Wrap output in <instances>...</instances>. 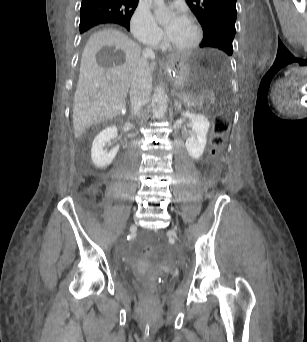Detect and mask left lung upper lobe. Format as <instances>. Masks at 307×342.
<instances>
[{"mask_svg":"<svg viewBox=\"0 0 307 342\" xmlns=\"http://www.w3.org/2000/svg\"><path fill=\"white\" fill-rule=\"evenodd\" d=\"M236 1L186 0L204 32L201 48H217L232 55V42L236 33Z\"/></svg>","mask_w":307,"mask_h":342,"instance_id":"left-lung-upper-lobe-1","label":"left lung upper lobe"}]
</instances>
